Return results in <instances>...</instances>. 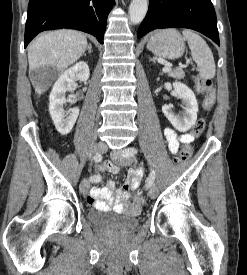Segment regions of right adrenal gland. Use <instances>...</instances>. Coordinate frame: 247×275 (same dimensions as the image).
I'll list each match as a JSON object with an SVG mask.
<instances>
[{
	"label": "right adrenal gland",
	"mask_w": 247,
	"mask_h": 275,
	"mask_svg": "<svg viewBox=\"0 0 247 275\" xmlns=\"http://www.w3.org/2000/svg\"><path fill=\"white\" fill-rule=\"evenodd\" d=\"M91 48H92V46H91V44H89L88 45V53H91L92 51H91ZM84 55H86V54H84Z\"/></svg>",
	"instance_id": "1"
}]
</instances>
